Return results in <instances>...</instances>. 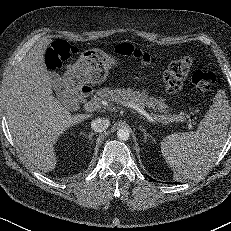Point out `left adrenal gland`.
Returning a JSON list of instances; mask_svg holds the SVG:
<instances>
[{"label": "left adrenal gland", "instance_id": "a2214340", "mask_svg": "<svg viewBox=\"0 0 231 231\" xmlns=\"http://www.w3.org/2000/svg\"><path fill=\"white\" fill-rule=\"evenodd\" d=\"M139 128H140V130L143 132V136H144V140H145V141L147 140L148 137H151V139H153L152 136H151L150 134L147 133L146 129H144L142 126H139ZM153 140H154V139H153Z\"/></svg>", "mask_w": 231, "mask_h": 231}]
</instances>
